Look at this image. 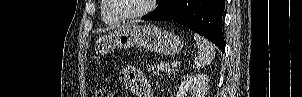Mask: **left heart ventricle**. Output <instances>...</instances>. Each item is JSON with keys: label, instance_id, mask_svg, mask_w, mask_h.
Returning a JSON list of instances; mask_svg holds the SVG:
<instances>
[{"label": "left heart ventricle", "instance_id": "left-heart-ventricle-1", "mask_svg": "<svg viewBox=\"0 0 302 97\" xmlns=\"http://www.w3.org/2000/svg\"><path fill=\"white\" fill-rule=\"evenodd\" d=\"M115 9L122 15L139 12L147 5V0H113Z\"/></svg>", "mask_w": 302, "mask_h": 97}]
</instances>
